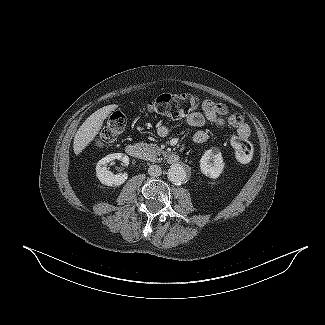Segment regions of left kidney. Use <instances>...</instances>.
I'll return each mask as SVG.
<instances>
[{
	"instance_id": "obj_1",
	"label": "left kidney",
	"mask_w": 325,
	"mask_h": 325,
	"mask_svg": "<svg viewBox=\"0 0 325 325\" xmlns=\"http://www.w3.org/2000/svg\"><path fill=\"white\" fill-rule=\"evenodd\" d=\"M224 166L222 154L217 148L206 150L200 159L201 172L212 179L219 178Z\"/></svg>"
}]
</instances>
